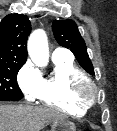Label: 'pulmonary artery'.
I'll list each match as a JSON object with an SVG mask.
<instances>
[{
	"label": "pulmonary artery",
	"mask_w": 117,
	"mask_h": 131,
	"mask_svg": "<svg viewBox=\"0 0 117 131\" xmlns=\"http://www.w3.org/2000/svg\"><path fill=\"white\" fill-rule=\"evenodd\" d=\"M71 58V53L63 48H56L52 53V59Z\"/></svg>",
	"instance_id": "e3ab8cb5"
}]
</instances>
